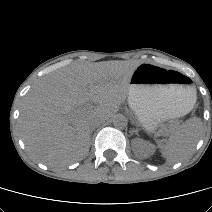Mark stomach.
Wrapping results in <instances>:
<instances>
[{
  "instance_id": "stomach-1",
  "label": "stomach",
  "mask_w": 212,
  "mask_h": 212,
  "mask_svg": "<svg viewBox=\"0 0 212 212\" xmlns=\"http://www.w3.org/2000/svg\"><path fill=\"white\" fill-rule=\"evenodd\" d=\"M179 72L153 63H141L134 70L128 103L142 128L154 132L165 120L187 114L196 101V90Z\"/></svg>"
}]
</instances>
